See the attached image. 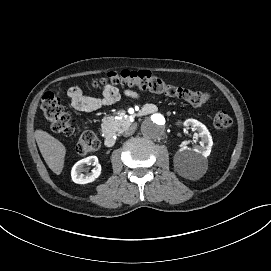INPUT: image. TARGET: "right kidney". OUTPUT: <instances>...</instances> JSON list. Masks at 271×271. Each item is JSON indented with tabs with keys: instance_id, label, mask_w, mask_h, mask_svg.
Masks as SVG:
<instances>
[{
	"instance_id": "right-kidney-1",
	"label": "right kidney",
	"mask_w": 271,
	"mask_h": 271,
	"mask_svg": "<svg viewBox=\"0 0 271 271\" xmlns=\"http://www.w3.org/2000/svg\"><path fill=\"white\" fill-rule=\"evenodd\" d=\"M95 166L90 173L83 174L86 171L84 165ZM101 174V165L98 163L96 156H89L75 163L71 170V177L73 182L77 184H86L93 182Z\"/></svg>"
}]
</instances>
